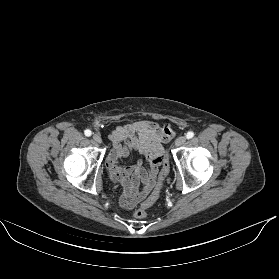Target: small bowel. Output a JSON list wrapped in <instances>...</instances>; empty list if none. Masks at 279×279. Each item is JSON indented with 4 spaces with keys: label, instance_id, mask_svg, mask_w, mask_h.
<instances>
[{
    "label": "small bowel",
    "instance_id": "obj_1",
    "mask_svg": "<svg viewBox=\"0 0 279 279\" xmlns=\"http://www.w3.org/2000/svg\"><path fill=\"white\" fill-rule=\"evenodd\" d=\"M173 137L174 131L169 125L148 120L116 126L110 133L113 148L107 159V169L111 178L123 186L122 208H134L150 193L162 161V144ZM133 151L143 155L144 162L138 160L134 165L122 167L119 162L129 158Z\"/></svg>",
    "mask_w": 279,
    "mask_h": 279
}]
</instances>
